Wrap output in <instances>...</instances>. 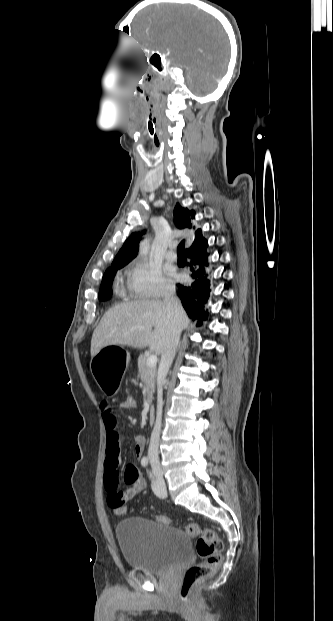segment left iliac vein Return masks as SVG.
<instances>
[{
	"label": "left iliac vein",
	"mask_w": 333,
	"mask_h": 621,
	"mask_svg": "<svg viewBox=\"0 0 333 621\" xmlns=\"http://www.w3.org/2000/svg\"><path fill=\"white\" fill-rule=\"evenodd\" d=\"M154 482L157 485L156 489L154 490L156 495L161 497V498H165L167 496L166 485H165V481L163 479V476H162L161 472H156L155 473Z\"/></svg>",
	"instance_id": "1"
}]
</instances>
